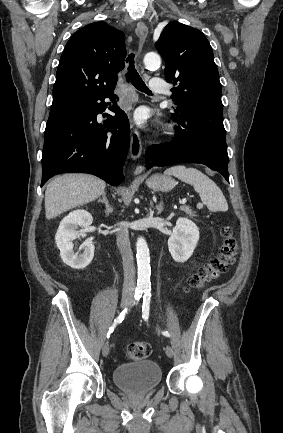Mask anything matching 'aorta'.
Returning <instances> with one entry per match:
<instances>
[{
  "label": "aorta",
  "instance_id": "762f6f07",
  "mask_svg": "<svg viewBox=\"0 0 283 433\" xmlns=\"http://www.w3.org/2000/svg\"><path fill=\"white\" fill-rule=\"evenodd\" d=\"M144 64L148 69L159 68L161 65L160 56L157 53L149 52L144 57ZM136 258L138 265L137 286L148 288L150 286V253L146 240L139 237L136 243Z\"/></svg>",
  "mask_w": 283,
  "mask_h": 433
}]
</instances>
